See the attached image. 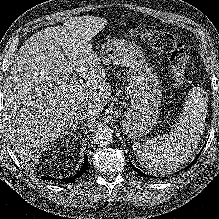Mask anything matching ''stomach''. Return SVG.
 <instances>
[{"label":"stomach","mask_w":219,"mask_h":219,"mask_svg":"<svg viewBox=\"0 0 219 219\" xmlns=\"http://www.w3.org/2000/svg\"><path fill=\"white\" fill-rule=\"evenodd\" d=\"M99 60L104 65L128 68L131 103L121 120L124 133L135 138L150 132L157 120L162 89L141 49L133 41L114 38L101 46Z\"/></svg>","instance_id":"0dacf381"}]
</instances>
